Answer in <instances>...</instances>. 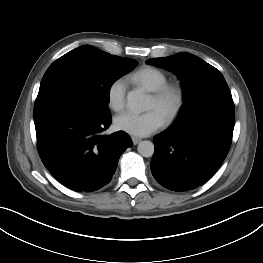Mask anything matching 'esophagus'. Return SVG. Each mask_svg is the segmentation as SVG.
Wrapping results in <instances>:
<instances>
[{
    "label": "esophagus",
    "mask_w": 263,
    "mask_h": 263,
    "mask_svg": "<svg viewBox=\"0 0 263 263\" xmlns=\"http://www.w3.org/2000/svg\"><path fill=\"white\" fill-rule=\"evenodd\" d=\"M132 141H133V144L136 145V144H138L141 141V138L133 136L132 137Z\"/></svg>",
    "instance_id": "1"
}]
</instances>
